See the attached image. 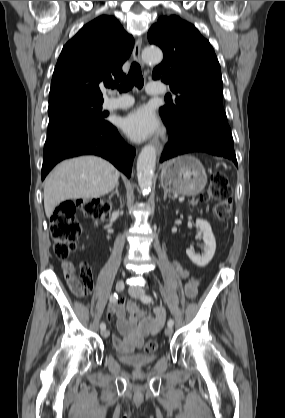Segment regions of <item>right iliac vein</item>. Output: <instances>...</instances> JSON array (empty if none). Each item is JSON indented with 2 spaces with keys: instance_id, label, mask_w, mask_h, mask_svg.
<instances>
[{
  "instance_id": "63e3f726",
  "label": "right iliac vein",
  "mask_w": 285,
  "mask_h": 418,
  "mask_svg": "<svg viewBox=\"0 0 285 418\" xmlns=\"http://www.w3.org/2000/svg\"><path fill=\"white\" fill-rule=\"evenodd\" d=\"M115 289H116L118 292H121V291L124 289V281H123V280H119V281H117V282H116V285H115ZM109 334H110V332H109V330H108V329H104V330H102V331H101V335H102L104 338H107V337L109 336Z\"/></svg>"
}]
</instances>
